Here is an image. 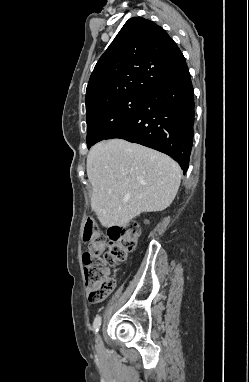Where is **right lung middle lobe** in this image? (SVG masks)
<instances>
[{
	"instance_id": "1",
	"label": "right lung middle lobe",
	"mask_w": 249,
	"mask_h": 382,
	"mask_svg": "<svg viewBox=\"0 0 249 382\" xmlns=\"http://www.w3.org/2000/svg\"><path fill=\"white\" fill-rule=\"evenodd\" d=\"M146 93H132L86 108L87 147L107 137L131 120L147 100Z\"/></svg>"
}]
</instances>
